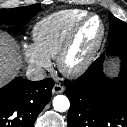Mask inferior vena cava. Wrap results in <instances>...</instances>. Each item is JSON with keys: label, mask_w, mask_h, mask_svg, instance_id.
<instances>
[{"label": "inferior vena cava", "mask_w": 127, "mask_h": 127, "mask_svg": "<svg viewBox=\"0 0 127 127\" xmlns=\"http://www.w3.org/2000/svg\"><path fill=\"white\" fill-rule=\"evenodd\" d=\"M26 76L31 81H40L46 78V72L40 67H28Z\"/></svg>", "instance_id": "inferior-vena-cava-1"}]
</instances>
